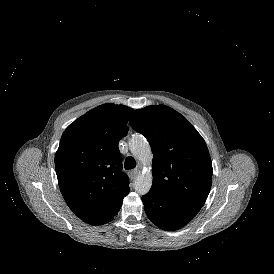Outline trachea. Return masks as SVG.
Listing matches in <instances>:
<instances>
[{
	"instance_id": "obj_1",
	"label": "trachea",
	"mask_w": 274,
	"mask_h": 274,
	"mask_svg": "<svg viewBox=\"0 0 274 274\" xmlns=\"http://www.w3.org/2000/svg\"><path fill=\"white\" fill-rule=\"evenodd\" d=\"M125 169H133L136 167V161L133 157L129 156L126 158L124 163Z\"/></svg>"
}]
</instances>
